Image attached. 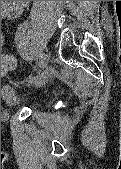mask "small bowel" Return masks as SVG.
<instances>
[{
	"label": "small bowel",
	"mask_w": 121,
	"mask_h": 169,
	"mask_svg": "<svg viewBox=\"0 0 121 169\" xmlns=\"http://www.w3.org/2000/svg\"><path fill=\"white\" fill-rule=\"evenodd\" d=\"M28 2L29 1H3L2 17H17L23 11Z\"/></svg>",
	"instance_id": "1"
}]
</instances>
